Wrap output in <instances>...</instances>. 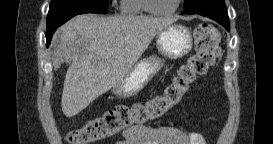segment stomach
<instances>
[{"mask_svg":"<svg viewBox=\"0 0 273 144\" xmlns=\"http://www.w3.org/2000/svg\"><path fill=\"white\" fill-rule=\"evenodd\" d=\"M190 30L180 24H172L157 34L156 47L165 59H177L192 49ZM163 66L157 56L145 57L136 62L123 80L113 88V93L122 98L130 97L141 91Z\"/></svg>","mask_w":273,"mask_h":144,"instance_id":"obj_1","label":"stomach"}]
</instances>
